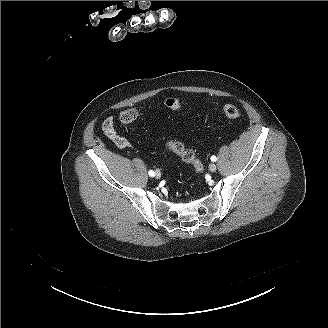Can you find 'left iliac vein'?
I'll list each match as a JSON object with an SVG mask.
<instances>
[{
	"label": "left iliac vein",
	"instance_id": "left-iliac-vein-1",
	"mask_svg": "<svg viewBox=\"0 0 328 328\" xmlns=\"http://www.w3.org/2000/svg\"><path fill=\"white\" fill-rule=\"evenodd\" d=\"M216 169H217V167H216V165H215L214 163H211V164L209 165V170H210L211 172H215Z\"/></svg>",
	"mask_w": 328,
	"mask_h": 328
}]
</instances>
